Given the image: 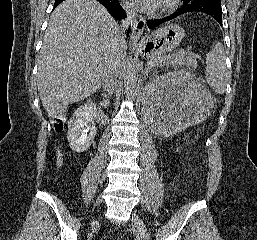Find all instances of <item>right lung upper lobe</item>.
I'll list each match as a JSON object with an SVG mask.
<instances>
[{"label":"right lung upper lobe","instance_id":"right-lung-upper-lobe-1","mask_svg":"<svg viewBox=\"0 0 257 240\" xmlns=\"http://www.w3.org/2000/svg\"><path fill=\"white\" fill-rule=\"evenodd\" d=\"M62 1H64V0H56L55 5H59Z\"/></svg>","mask_w":257,"mask_h":240}]
</instances>
